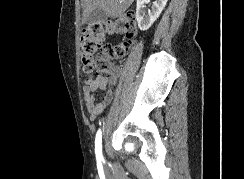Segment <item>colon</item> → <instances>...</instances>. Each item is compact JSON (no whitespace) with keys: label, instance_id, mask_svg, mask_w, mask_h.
I'll list each match as a JSON object with an SVG mask.
<instances>
[{"label":"colon","instance_id":"1","mask_svg":"<svg viewBox=\"0 0 244 179\" xmlns=\"http://www.w3.org/2000/svg\"><path fill=\"white\" fill-rule=\"evenodd\" d=\"M134 21L130 17L110 22L91 24L81 30L80 52L82 70L90 87L104 88L109 84L108 72L112 60L122 59L129 46L127 44H103L105 34H119L130 38L134 33Z\"/></svg>","mask_w":244,"mask_h":179}]
</instances>
